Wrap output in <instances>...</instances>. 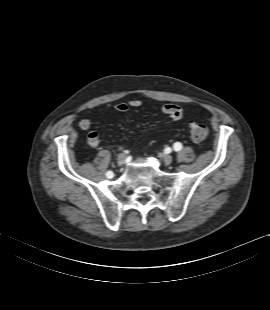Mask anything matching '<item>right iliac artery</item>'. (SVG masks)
Returning a JSON list of instances; mask_svg holds the SVG:
<instances>
[{
	"mask_svg": "<svg viewBox=\"0 0 270 310\" xmlns=\"http://www.w3.org/2000/svg\"><path fill=\"white\" fill-rule=\"evenodd\" d=\"M106 175H107L108 178H112V177L114 176V174H113L112 171H108V172L106 173Z\"/></svg>",
	"mask_w": 270,
	"mask_h": 310,
	"instance_id": "right-iliac-artery-1",
	"label": "right iliac artery"
}]
</instances>
